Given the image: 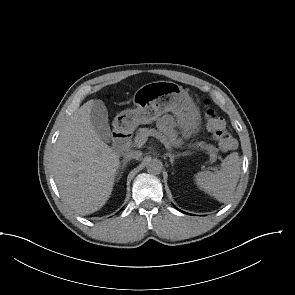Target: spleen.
<instances>
[{
  "label": "spleen",
  "mask_w": 295,
  "mask_h": 295,
  "mask_svg": "<svg viewBox=\"0 0 295 295\" xmlns=\"http://www.w3.org/2000/svg\"><path fill=\"white\" fill-rule=\"evenodd\" d=\"M240 175V162L237 152L228 155L217 172L201 171L195 175L196 185L219 202L230 201Z\"/></svg>",
  "instance_id": "3e777b00"
}]
</instances>
